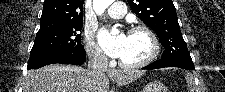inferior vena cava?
<instances>
[{
  "label": "inferior vena cava",
  "mask_w": 225,
  "mask_h": 92,
  "mask_svg": "<svg viewBox=\"0 0 225 92\" xmlns=\"http://www.w3.org/2000/svg\"><path fill=\"white\" fill-rule=\"evenodd\" d=\"M88 71L90 73H104L108 69V59L99 50L88 51Z\"/></svg>",
  "instance_id": "inferior-vena-cava-1"
}]
</instances>
